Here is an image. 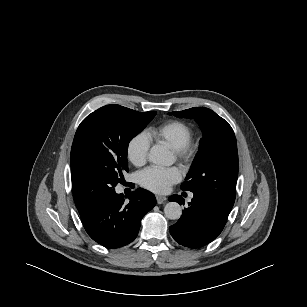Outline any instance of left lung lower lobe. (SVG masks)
Masks as SVG:
<instances>
[{
	"mask_svg": "<svg viewBox=\"0 0 307 307\" xmlns=\"http://www.w3.org/2000/svg\"><path fill=\"white\" fill-rule=\"evenodd\" d=\"M169 201L184 204L178 195L169 197ZM181 218L169 227L170 234L179 244L199 248L213 241L223 230L230 211L202 194H194Z\"/></svg>",
	"mask_w": 307,
	"mask_h": 307,
	"instance_id": "left-lung-lower-lobe-1",
	"label": "left lung lower lobe"
}]
</instances>
